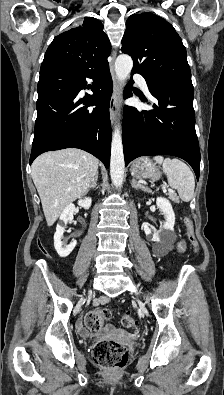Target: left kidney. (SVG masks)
Returning <instances> with one entry per match:
<instances>
[{
    "instance_id": "left-kidney-1",
    "label": "left kidney",
    "mask_w": 224,
    "mask_h": 395,
    "mask_svg": "<svg viewBox=\"0 0 224 395\" xmlns=\"http://www.w3.org/2000/svg\"><path fill=\"white\" fill-rule=\"evenodd\" d=\"M156 204L159 210L164 214L165 222L160 230L152 232L149 228V224L143 225L144 232L147 236H151V241L160 242L161 236L167 231H172L175 224V214L169 200L163 197L156 199Z\"/></svg>"
}]
</instances>
